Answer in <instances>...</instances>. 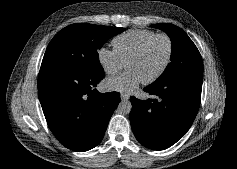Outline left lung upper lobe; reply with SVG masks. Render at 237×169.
<instances>
[{"label":"left lung upper lobe","instance_id":"left-lung-upper-lobe-1","mask_svg":"<svg viewBox=\"0 0 237 169\" xmlns=\"http://www.w3.org/2000/svg\"><path fill=\"white\" fill-rule=\"evenodd\" d=\"M152 27L165 31L172 42L171 62L163 74L152 84L203 73L201 55L195 44L181 28L169 23H159L152 25Z\"/></svg>","mask_w":237,"mask_h":169}]
</instances>
